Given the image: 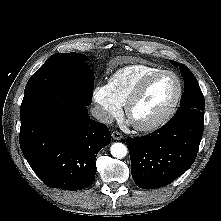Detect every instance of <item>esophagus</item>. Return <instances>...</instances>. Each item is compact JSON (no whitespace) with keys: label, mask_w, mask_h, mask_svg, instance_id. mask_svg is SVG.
I'll return each instance as SVG.
<instances>
[{"label":"esophagus","mask_w":221,"mask_h":221,"mask_svg":"<svg viewBox=\"0 0 221 221\" xmlns=\"http://www.w3.org/2000/svg\"><path fill=\"white\" fill-rule=\"evenodd\" d=\"M112 137H113V139H115V140H121V139L123 138V135H122V133H120V132L114 131V132L112 133Z\"/></svg>","instance_id":"obj_1"}]
</instances>
